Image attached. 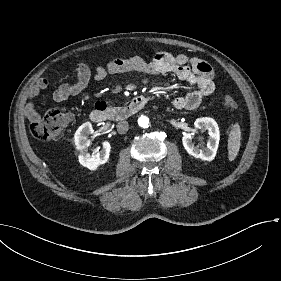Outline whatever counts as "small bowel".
<instances>
[{
	"label": "small bowel",
	"instance_id": "c3829d8e",
	"mask_svg": "<svg viewBox=\"0 0 281 281\" xmlns=\"http://www.w3.org/2000/svg\"><path fill=\"white\" fill-rule=\"evenodd\" d=\"M138 71L147 74L172 73L180 80L188 82L195 88L186 95L178 96L173 100V106L177 110H193L202 100L211 95L215 88V72L204 60L190 57L186 54H172L159 52L151 59L133 56L127 59H116L106 66H98L95 69L94 78L103 80L109 74ZM77 81L73 84H61L53 92V99L57 102L80 94L89 84L91 72L87 65L79 64L76 67ZM46 88V82L41 79L33 85L29 91V97L33 98L41 90ZM26 116L33 121L38 118L33 103L26 106Z\"/></svg>",
	"mask_w": 281,
	"mask_h": 281
}]
</instances>
